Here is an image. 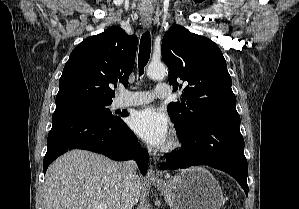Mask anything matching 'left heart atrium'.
Returning a JSON list of instances; mask_svg holds the SVG:
<instances>
[{"label": "left heart atrium", "instance_id": "left-heart-atrium-1", "mask_svg": "<svg viewBox=\"0 0 299 209\" xmlns=\"http://www.w3.org/2000/svg\"><path fill=\"white\" fill-rule=\"evenodd\" d=\"M131 129L147 144L160 147L168 140L169 120L154 107L135 111L129 120Z\"/></svg>", "mask_w": 299, "mask_h": 209}]
</instances>
